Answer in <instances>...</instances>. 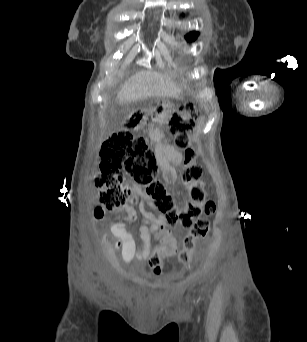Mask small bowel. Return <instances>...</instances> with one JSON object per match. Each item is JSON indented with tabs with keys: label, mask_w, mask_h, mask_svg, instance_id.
Segmentation results:
<instances>
[{
	"label": "small bowel",
	"mask_w": 307,
	"mask_h": 342,
	"mask_svg": "<svg viewBox=\"0 0 307 342\" xmlns=\"http://www.w3.org/2000/svg\"><path fill=\"white\" fill-rule=\"evenodd\" d=\"M182 161V154L175 148L169 147L166 154L161 156V167L163 175L168 183H174L176 181L175 169L170 165L180 164ZM137 192H141L140 188L135 187ZM140 211L142 214L143 225L140 228V238L142 244L139 246L136 243L133 235L128 231L124 221L117 220L111 225V232L113 235L112 242L115 250L121 251L122 260L124 263H130L134 259L145 260L151 253V246H148V241H151L150 231L153 225H164L163 217L156 218L152 213L148 212L144 208L143 202L140 204ZM126 212L128 214H134L135 212L131 207H127ZM103 217L101 209H97L94 213L93 220L96 222ZM136 217V215H135ZM127 219V218H126ZM128 221H132L127 219ZM176 240V239H168ZM178 249V247H177Z\"/></svg>",
	"instance_id": "c3829d8e"
}]
</instances>
